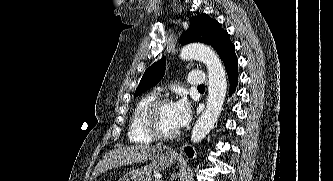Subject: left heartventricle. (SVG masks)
<instances>
[{
    "label": "left heart ventricle",
    "mask_w": 333,
    "mask_h": 181,
    "mask_svg": "<svg viewBox=\"0 0 333 181\" xmlns=\"http://www.w3.org/2000/svg\"><path fill=\"white\" fill-rule=\"evenodd\" d=\"M158 123L164 132H174L178 128L174 123L173 104L164 105L158 115Z\"/></svg>",
    "instance_id": "b2bd125f"
}]
</instances>
